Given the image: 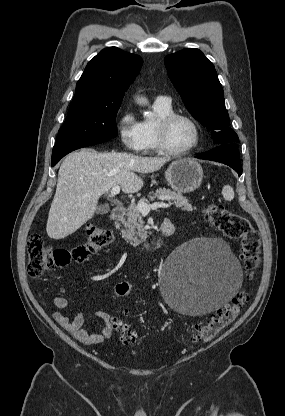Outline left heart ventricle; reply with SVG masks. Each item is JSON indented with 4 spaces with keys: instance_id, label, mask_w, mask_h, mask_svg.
Listing matches in <instances>:
<instances>
[{
    "instance_id": "obj_1",
    "label": "left heart ventricle",
    "mask_w": 285,
    "mask_h": 416,
    "mask_svg": "<svg viewBox=\"0 0 285 416\" xmlns=\"http://www.w3.org/2000/svg\"><path fill=\"white\" fill-rule=\"evenodd\" d=\"M194 140V129L185 119H176L170 125L167 141L172 149L176 151L186 150L193 145Z\"/></svg>"
}]
</instances>
